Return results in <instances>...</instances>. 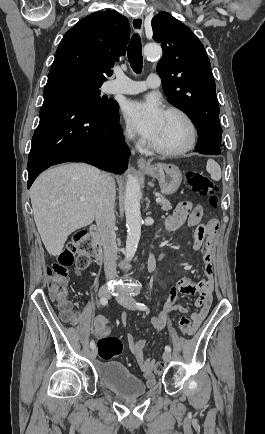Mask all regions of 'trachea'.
I'll return each instance as SVG.
<instances>
[{
    "label": "trachea",
    "instance_id": "1",
    "mask_svg": "<svg viewBox=\"0 0 265 434\" xmlns=\"http://www.w3.org/2000/svg\"><path fill=\"white\" fill-rule=\"evenodd\" d=\"M129 63L135 73L139 74L143 68L142 45L138 33L134 34L127 49Z\"/></svg>",
    "mask_w": 265,
    "mask_h": 434
}]
</instances>
